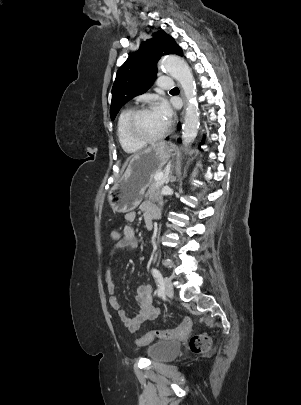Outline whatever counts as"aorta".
<instances>
[{
    "instance_id": "aorta-1",
    "label": "aorta",
    "mask_w": 301,
    "mask_h": 405,
    "mask_svg": "<svg viewBox=\"0 0 301 405\" xmlns=\"http://www.w3.org/2000/svg\"><path fill=\"white\" fill-rule=\"evenodd\" d=\"M160 67L180 83L187 100L182 128V143L187 147L195 140L199 128V109L193 74L188 64L182 58L174 55L165 56L160 62Z\"/></svg>"
}]
</instances>
